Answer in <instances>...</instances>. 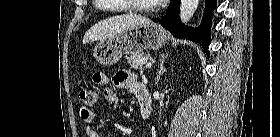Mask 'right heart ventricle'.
<instances>
[{"mask_svg": "<svg viewBox=\"0 0 280 137\" xmlns=\"http://www.w3.org/2000/svg\"><path fill=\"white\" fill-rule=\"evenodd\" d=\"M97 2H107L108 0H96ZM122 1V0H120ZM121 11H129V9L126 6H123V8L121 9Z\"/></svg>", "mask_w": 280, "mask_h": 137, "instance_id": "right-heart-ventricle-1", "label": "right heart ventricle"}]
</instances>
